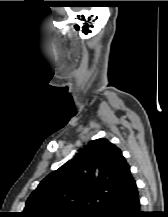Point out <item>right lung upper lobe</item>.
<instances>
[{
	"label": "right lung upper lobe",
	"instance_id": "cb5924a9",
	"mask_svg": "<svg viewBox=\"0 0 168 217\" xmlns=\"http://www.w3.org/2000/svg\"><path fill=\"white\" fill-rule=\"evenodd\" d=\"M137 190L121 150L106 139L90 141L71 160L44 178L29 196L21 217H95L112 201Z\"/></svg>",
	"mask_w": 168,
	"mask_h": 217
}]
</instances>
